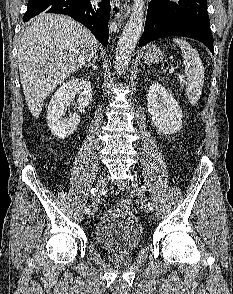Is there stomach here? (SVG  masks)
Returning a JSON list of instances; mask_svg holds the SVG:
<instances>
[{
	"instance_id": "1",
	"label": "stomach",
	"mask_w": 233,
	"mask_h": 294,
	"mask_svg": "<svg viewBox=\"0 0 233 294\" xmlns=\"http://www.w3.org/2000/svg\"><path fill=\"white\" fill-rule=\"evenodd\" d=\"M143 60L147 63H154L163 59L164 53L154 44L147 45L142 52Z\"/></svg>"
}]
</instances>
